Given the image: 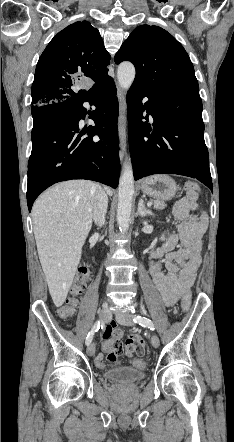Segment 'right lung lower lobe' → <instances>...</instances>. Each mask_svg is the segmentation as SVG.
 Returning a JSON list of instances; mask_svg holds the SVG:
<instances>
[{
    "instance_id": "1",
    "label": "right lung lower lobe",
    "mask_w": 234,
    "mask_h": 442,
    "mask_svg": "<svg viewBox=\"0 0 234 442\" xmlns=\"http://www.w3.org/2000/svg\"><path fill=\"white\" fill-rule=\"evenodd\" d=\"M96 107L95 126L79 129L89 113L82 106ZM32 152L28 162L27 203L31 211L38 195L54 183L89 179L118 186L120 174L118 144V100L111 77L93 85L81 98L34 106ZM88 137H82L84 134ZM98 135L99 139L93 138Z\"/></svg>"
}]
</instances>
